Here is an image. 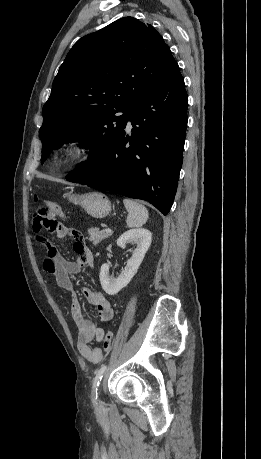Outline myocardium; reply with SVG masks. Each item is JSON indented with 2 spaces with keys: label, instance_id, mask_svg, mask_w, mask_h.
Here are the masks:
<instances>
[{
  "label": "myocardium",
  "instance_id": "obj_1",
  "mask_svg": "<svg viewBox=\"0 0 261 459\" xmlns=\"http://www.w3.org/2000/svg\"><path fill=\"white\" fill-rule=\"evenodd\" d=\"M91 153L92 149L87 141L72 139L58 147L53 162L58 170H69L86 162Z\"/></svg>",
  "mask_w": 261,
  "mask_h": 459
}]
</instances>
